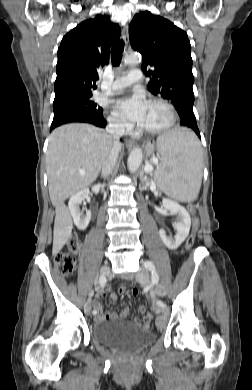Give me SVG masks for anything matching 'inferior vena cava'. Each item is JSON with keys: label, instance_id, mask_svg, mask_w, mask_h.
<instances>
[{"label": "inferior vena cava", "instance_id": "obj_1", "mask_svg": "<svg viewBox=\"0 0 252 390\" xmlns=\"http://www.w3.org/2000/svg\"><path fill=\"white\" fill-rule=\"evenodd\" d=\"M107 133L113 138V147L102 165V176L106 178L116 164L121 144L119 139L125 134V127L119 123H109L106 127Z\"/></svg>", "mask_w": 252, "mask_h": 390}]
</instances>
